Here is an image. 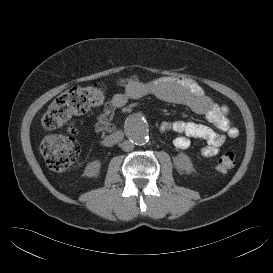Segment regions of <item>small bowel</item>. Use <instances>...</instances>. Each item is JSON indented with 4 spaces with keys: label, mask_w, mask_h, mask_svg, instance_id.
I'll return each mask as SVG.
<instances>
[{
    "label": "small bowel",
    "mask_w": 273,
    "mask_h": 273,
    "mask_svg": "<svg viewBox=\"0 0 273 273\" xmlns=\"http://www.w3.org/2000/svg\"><path fill=\"white\" fill-rule=\"evenodd\" d=\"M118 85L123 88L116 93L104 110L97 116L96 129L105 131L108 129L117 108L125 106L129 101L146 96H153L160 100L180 104L189 107L195 113L205 116L217 129L210 126L190 121L176 120L163 121L159 129L161 132H174L173 143L176 148L185 150L191 145V138H199L206 141L201 147L200 153L204 157L217 155L225 142L226 135L230 138L238 136V130L231 124L226 116L225 108L217 105L207 96L203 89L192 79L179 76H161L152 80L143 81L137 76L122 78Z\"/></svg>",
    "instance_id": "small-bowel-1"
}]
</instances>
